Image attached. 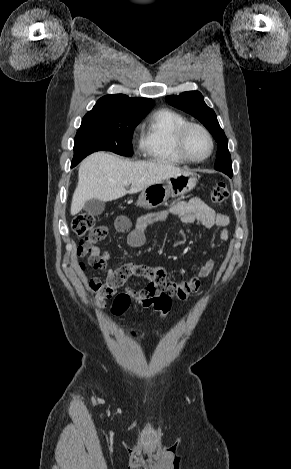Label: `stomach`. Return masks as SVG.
<instances>
[{
  "mask_svg": "<svg viewBox=\"0 0 291 469\" xmlns=\"http://www.w3.org/2000/svg\"><path fill=\"white\" fill-rule=\"evenodd\" d=\"M196 183L197 178L193 172L182 171L171 178L152 184L142 190L136 204L142 208H156L164 204L170 197L187 194L196 186Z\"/></svg>",
  "mask_w": 291,
  "mask_h": 469,
  "instance_id": "obj_1",
  "label": "stomach"
}]
</instances>
